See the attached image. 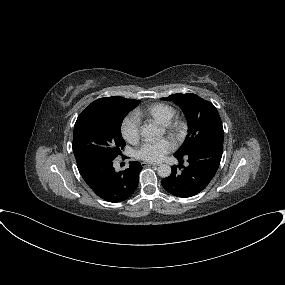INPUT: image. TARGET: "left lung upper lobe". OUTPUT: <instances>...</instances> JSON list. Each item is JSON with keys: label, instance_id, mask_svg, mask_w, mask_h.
I'll return each instance as SVG.
<instances>
[{"label": "left lung upper lobe", "instance_id": "obj_1", "mask_svg": "<svg viewBox=\"0 0 285 285\" xmlns=\"http://www.w3.org/2000/svg\"><path fill=\"white\" fill-rule=\"evenodd\" d=\"M162 100L173 101L179 105L188 122V134L175 155L184 156L208 142L223 141L221 118L212 103L192 93L173 94Z\"/></svg>", "mask_w": 285, "mask_h": 285}]
</instances>
